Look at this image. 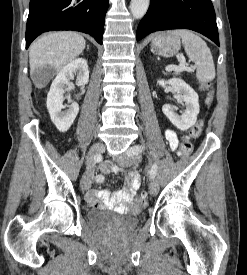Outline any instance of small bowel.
I'll return each instance as SVG.
<instances>
[{
  "instance_id": "c3829d8e",
  "label": "small bowel",
  "mask_w": 247,
  "mask_h": 275,
  "mask_svg": "<svg viewBox=\"0 0 247 275\" xmlns=\"http://www.w3.org/2000/svg\"><path fill=\"white\" fill-rule=\"evenodd\" d=\"M165 137L169 143L170 148L174 151L177 149L179 139L177 134L173 130H166ZM101 171L103 173H121L122 169L110 162H105L101 165ZM128 182L122 189L115 193H110L107 190H90L86 194L87 202L96 207L107 206L116 207L121 211H135L134 198L136 191L140 187V177L134 172L127 173Z\"/></svg>"
}]
</instances>
